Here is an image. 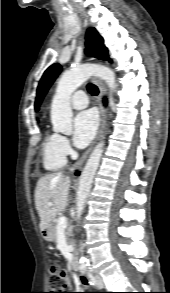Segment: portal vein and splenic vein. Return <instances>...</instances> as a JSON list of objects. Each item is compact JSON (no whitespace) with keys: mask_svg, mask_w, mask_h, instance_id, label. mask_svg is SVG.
I'll use <instances>...</instances> for the list:
<instances>
[{"mask_svg":"<svg viewBox=\"0 0 170 293\" xmlns=\"http://www.w3.org/2000/svg\"><path fill=\"white\" fill-rule=\"evenodd\" d=\"M50 206L52 205V202H49L48 203ZM68 225V220L65 216H61L59 219H58V222H57V230H64L66 229Z\"/></svg>","mask_w":170,"mask_h":293,"instance_id":"obj_1","label":"portal vein and splenic vein"}]
</instances>
